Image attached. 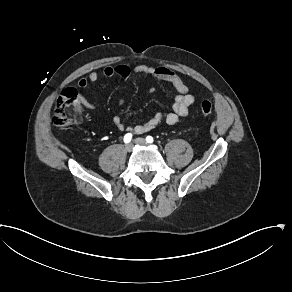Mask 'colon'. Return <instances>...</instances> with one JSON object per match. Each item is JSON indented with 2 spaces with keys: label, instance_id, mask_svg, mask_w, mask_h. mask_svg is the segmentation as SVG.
Returning <instances> with one entry per match:
<instances>
[{
  "label": "colon",
  "instance_id": "colon-1",
  "mask_svg": "<svg viewBox=\"0 0 292 292\" xmlns=\"http://www.w3.org/2000/svg\"><path fill=\"white\" fill-rule=\"evenodd\" d=\"M83 102L78 91L74 88H66L56 101L53 114V123L59 129L75 123L82 112ZM211 101L205 100L201 103V113L204 117L212 114Z\"/></svg>",
  "mask_w": 292,
  "mask_h": 292
}]
</instances>
